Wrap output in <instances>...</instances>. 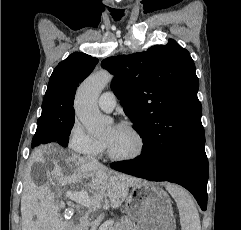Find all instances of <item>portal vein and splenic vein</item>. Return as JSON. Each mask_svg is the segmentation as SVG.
I'll return each instance as SVG.
<instances>
[{"instance_id": "portal-vein-and-splenic-vein-1", "label": "portal vein and splenic vein", "mask_w": 241, "mask_h": 230, "mask_svg": "<svg viewBox=\"0 0 241 230\" xmlns=\"http://www.w3.org/2000/svg\"><path fill=\"white\" fill-rule=\"evenodd\" d=\"M66 196L69 197V199H71V200L75 201L76 203L81 204L87 208L96 207L97 204L100 202V200L91 199L85 191L74 193V194H68ZM112 224H113L112 220L107 221L102 224L101 228L107 229Z\"/></svg>"}]
</instances>
